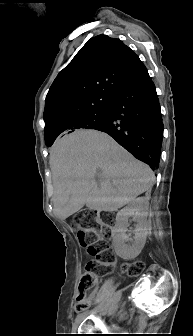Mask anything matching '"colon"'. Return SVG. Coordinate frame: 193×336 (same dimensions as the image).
I'll use <instances>...</instances> for the list:
<instances>
[{
    "label": "colon",
    "mask_w": 193,
    "mask_h": 336,
    "mask_svg": "<svg viewBox=\"0 0 193 336\" xmlns=\"http://www.w3.org/2000/svg\"><path fill=\"white\" fill-rule=\"evenodd\" d=\"M112 219L108 213L97 211H84L76 214L72 224L77 229V238L88 253L97 259L98 264L88 263L86 272L82 275L77 295V308L83 309L87 294L94 288L97 281L95 269L110 262L112 253L108 244L110 238V224ZM144 262L135 260L124 265V270L130 277L142 273Z\"/></svg>",
    "instance_id": "colon-1"
}]
</instances>
